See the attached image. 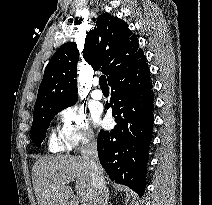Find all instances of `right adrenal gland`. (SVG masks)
Here are the masks:
<instances>
[{
	"mask_svg": "<svg viewBox=\"0 0 212 205\" xmlns=\"http://www.w3.org/2000/svg\"><path fill=\"white\" fill-rule=\"evenodd\" d=\"M107 199H109V190H107Z\"/></svg>",
	"mask_w": 212,
	"mask_h": 205,
	"instance_id": "1",
	"label": "right adrenal gland"
}]
</instances>
